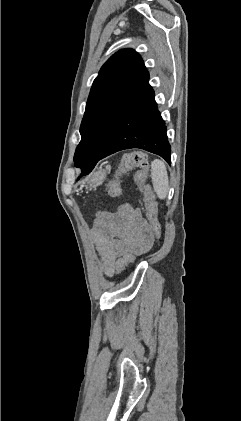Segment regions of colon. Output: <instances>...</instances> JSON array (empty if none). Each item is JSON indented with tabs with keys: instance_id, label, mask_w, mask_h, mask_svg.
<instances>
[{
	"instance_id": "1",
	"label": "colon",
	"mask_w": 241,
	"mask_h": 421,
	"mask_svg": "<svg viewBox=\"0 0 241 421\" xmlns=\"http://www.w3.org/2000/svg\"><path fill=\"white\" fill-rule=\"evenodd\" d=\"M139 168L135 173L134 179L136 184L144 195V206L146 216L157 237L161 234V225L157 216V204L155 196L149 185L146 184L148 172V160L146 155L141 151H134L125 154L119 162L118 168L114 176L108 181L106 189L108 196L116 198L121 193L119 177L133 168ZM135 261V256L126 254L117 262V273L120 274L124 269Z\"/></svg>"
}]
</instances>
